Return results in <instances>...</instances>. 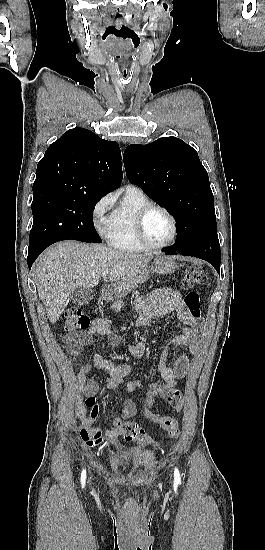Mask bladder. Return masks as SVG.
I'll return each instance as SVG.
<instances>
[{
  "instance_id": "31cf9c89",
  "label": "bladder",
  "mask_w": 265,
  "mask_h": 550,
  "mask_svg": "<svg viewBox=\"0 0 265 550\" xmlns=\"http://www.w3.org/2000/svg\"><path fill=\"white\" fill-rule=\"evenodd\" d=\"M135 455V449L133 447L114 446L109 456L113 460L120 461L122 463H130Z\"/></svg>"
}]
</instances>
